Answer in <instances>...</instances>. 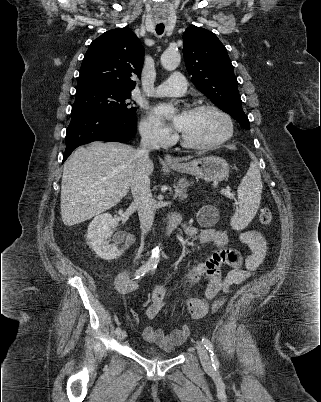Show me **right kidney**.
<instances>
[{"label":"right kidney","instance_id":"1","mask_svg":"<svg viewBox=\"0 0 321 402\" xmlns=\"http://www.w3.org/2000/svg\"><path fill=\"white\" fill-rule=\"evenodd\" d=\"M116 224L111 214L104 213L96 216L88 226L86 240L97 256L104 260L116 259L124 252L123 249L119 250L116 244H109L107 240Z\"/></svg>","mask_w":321,"mask_h":402}]
</instances>
